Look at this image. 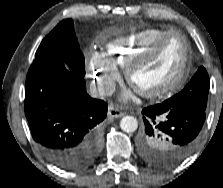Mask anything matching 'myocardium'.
Returning a JSON list of instances; mask_svg holds the SVG:
<instances>
[{"label": "myocardium", "instance_id": "1", "mask_svg": "<svg viewBox=\"0 0 223 188\" xmlns=\"http://www.w3.org/2000/svg\"><path fill=\"white\" fill-rule=\"evenodd\" d=\"M172 36H179L184 44V55L177 73L164 84L150 90L138 88L134 83V73L143 67L158 52L162 44ZM191 46L187 37L177 30H170L160 36L151 45L145 48L142 53L125 68V77L127 82L143 97L155 99L163 97L180 87L183 83L190 64Z\"/></svg>", "mask_w": 223, "mask_h": 188}]
</instances>
